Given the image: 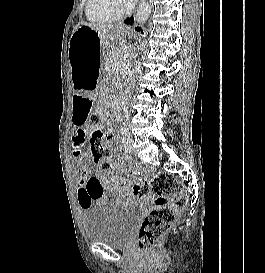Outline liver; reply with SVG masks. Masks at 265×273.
<instances>
[{
	"mask_svg": "<svg viewBox=\"0 0 265 273\" xmlns=\"http://www.w3.org/2000/svg\"><path fill=\"white\" fill-rule=\"evenodd\" d=\"M80 26L90 27L91 29L97 31L100 35L109 37L111 41H114L120 29H122L121 25L113 26L102 23L81 22L78 25H76L73 32H75Z\"/></svg>",
	"mask_w": 265,
	"mask_h": 273,
	"instance_id": "liver-1",
	"label": "liver"
}]
</instances>
